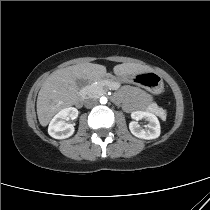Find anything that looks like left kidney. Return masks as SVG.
I'll use <instances>...</instances> for the list:
<instances>
[{
    "label": "left kidney",
    "mask_w": 210,
    "mask_h": 210,
    "mask_svg": "<svg viewBox=\"0 0 210 210\" xmlns=\"http://www.w3.org/2000/svg\"><path fill=\"white\" fill-rule=\"evenodd\" d=\"M131 116L136 120L129 124V129L134 136L141 139H155L160 136V123L154 114L146 111H136ZM141 119H146L149 122L147 125L148 129L145 130L138 124L137 121Z\"/></svg>",
    "instance_id": "5707ae66"
}]
</instances>
